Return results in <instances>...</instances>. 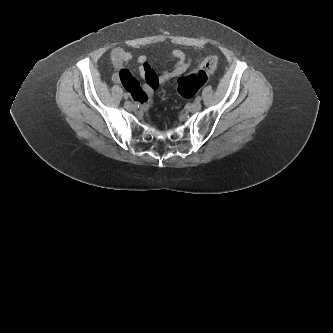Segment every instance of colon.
<instances>
[{
	"label": "colon",
	"mask_w": 333,
	"mask_h": 333,
	"mask_svg": "<svg viewBox=\"0 0 333 333\" xmlns=\"http://www.w3.org/2000/svg\"><path fill=\"white\" fill-rule=\"evenodd\" d=\"M217 64V57H209L192 74L179 78L177 81L178 93L185 98L194 96L206 83L208 74L216 69Z\"/></svg>",
	"instance_id": "5ec220e1"
}]
</instances>
